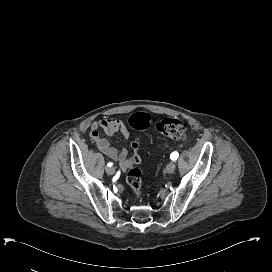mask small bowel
Wrapping results in <instances>:
<instances>
[{
    "instance_id": "c3829d8e",
    "label": "small bowel",
    "mask_w": 272,
    "mask_h": 272,
    "mask_svg": "<svg viewBox=\"0 0 272 272\" xmlns=\"http://www.w3.org/2000/svg\"><path fill=\"white\" fill-rule=\"evenodd\" d=\"M99 130L104 131L107 135H113L116 132H120L123 137L128 138L130 132L122 120L117 118H103L95 121L91 125L90 138L102 153L114 161H117L123 171L140 163L141 159L138 152V139L132 141L131 151L126 149L119 151L109 140L102 138L99 135Z\"/></svg>"
}]
</instances>
